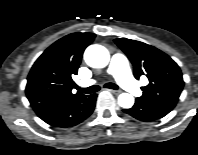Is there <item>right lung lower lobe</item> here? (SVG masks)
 Here are the masks:
<instances>
[{
	"label": "right lung lower lobe",
	"instance_id": "1",
	"mask_svg": "<svg viewBox=\"0 0 198 155\" xmlns=\"http://www.w3.org/2000/svg\"><path fill=\"white\" fill-rule=\"evenodd\" d=\"M97 94L78 95L45 109L36 111L37 115L49 125L70 127L85 120L94 110Z\"/></svg>",
	"mask_w": 198,
	"mask_h": 155
}]
</instances>
